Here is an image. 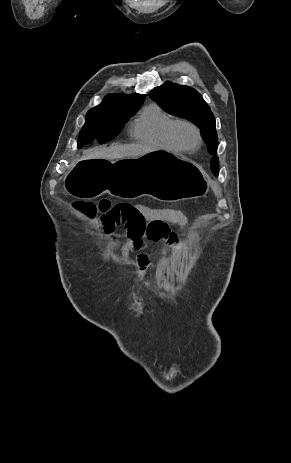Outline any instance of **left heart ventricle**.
Here are the masks:
<instances>
[{
    "instance_id": "1",
    "label": "left heart ventricle",
    "mask_w": 291,
    "mask_h": 463,
    "mask_svg": "<svg viewBox=\"0 0 291 463\" xmlns=\"http://www.w3.org/2000/svg\"><path fill=\"white\" fill-rule=\"evenodd\" d=\"M177 137L179 141L187 147H192L196 142L194 132L187 126H181L178 128Z\"/></svg>"
}]
</instances>
